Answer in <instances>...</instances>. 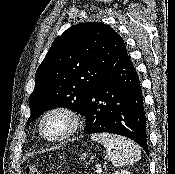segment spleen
I'll return each mask as SVG.
<instances>
[{"label":"spleen","mask_w":175,"mask_h":174,"mask_svg":"<svg viewBox=\"0 0 175 174\" xmlns=\"http://www.w3.org/2000/svg\"><path fill=\"white\" fill-rule=\"evenodd\" d=\"M91 138L104 146L108 158L114 166L133 164L141 158L138 146L125 137L108 133H95Z\"/></svg>","instance_id":"3e777b00"}]
</instances>
